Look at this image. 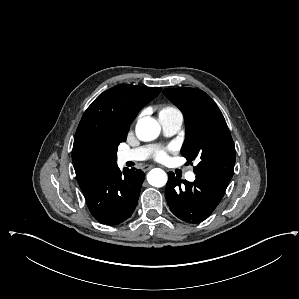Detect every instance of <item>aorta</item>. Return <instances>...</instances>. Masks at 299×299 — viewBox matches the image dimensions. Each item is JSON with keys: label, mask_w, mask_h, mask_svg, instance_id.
<instances>
[{"label": "aorta", "mask_w": 299, "mask_h": 299, "mask_svg": "<svg viewBox=\"0 0 299 299\" xmlns=\"http://www.w3.org/2000/svg\"><path fill=\"white\" fill-rule=\"evenodd\" d=\"M160 130L159 123L153 118H142L136 125V135L142 141L156 139ZM147 181L154 187H163L167 183V174L160 168H154L148 173Z\"/></svg>", "instance_id": "762f6f07"}]
</instances>
